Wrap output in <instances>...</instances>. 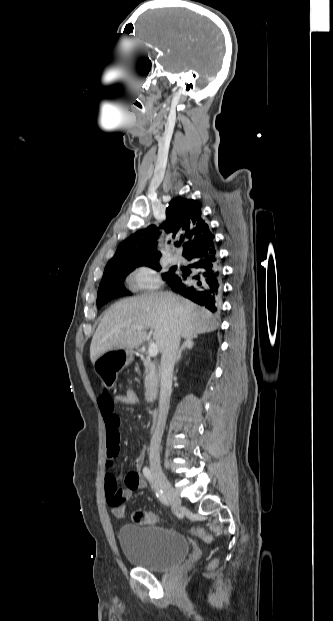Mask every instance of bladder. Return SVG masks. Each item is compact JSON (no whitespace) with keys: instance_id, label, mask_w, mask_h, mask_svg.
<instances>
[{"instance_id":"bladder-1","label":"bladder","mask_w":333,"mask_h":621,"mask_svg":"<svg viewBox=\"0 0 333 621\" xmlns=\"http://www.w3.org/2000/svg\"><path fill=\"white\" fill-rule=\"evenodd\" d=\"M118 540L129 563L153 572L177 566L189 551L182 534L151 524L124 525L118 532Z\"/></svg>"}]
</instances>
